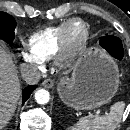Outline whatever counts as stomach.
I'll return each mask as SVG.
<instances>
[{"mask_svg": "<svg viewBox=\"0 0 130 130\" xmlns=\"http://www.w3.org/2000/svg\"><path fill=\"white\" fill-rule=\"evenodd\" d=\"M118 85L117 64L102 50L91 48L77 62L72 77L58 85V94L68 106L89 110L108 103Z\"/></svg>", "mask_w": 130, "mask_h": 130, "instance_id": "1", "label": "stomach"}]
</instances>
